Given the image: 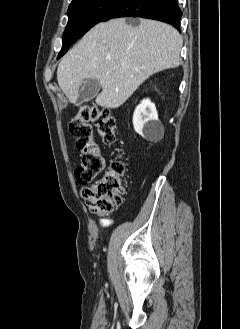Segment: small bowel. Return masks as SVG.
<instances>
[{
	"instance_id": "c3829d8e",
	"label": "small bowel",
	"mask_w": 240,
	"mask_h": 329,
	"mask_svg": "<svg viewBox=\"0 0 240 329\" xmlns=\"http://www.w3.org/2000/svg\"><path fill=\"white\" fill-rule=\"evenodd\" d=\"M100 225H101V227L106 228V227L111 226L112 222L111 221H102V222H100Z\"/></svg>"
}]
</instances>
